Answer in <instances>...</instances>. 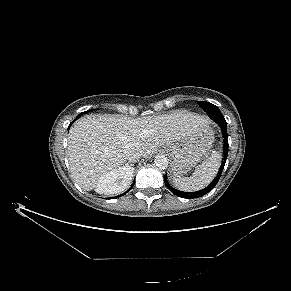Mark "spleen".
<instances>
[{"instance_id":"obj_1","label":"spleen","mask_w":291,"mask_h":291,"mask_svg":"<svg viewBox=\"0 0 291 291\" xmlns=\"http://www.w3.org/2000/svg\"><path fill=\"white\" fill-rule=\"evenodd\" d=\"M221 165V156L218 151H213L190 177H173V183L181 191L193 192L208 186L218 173Z\"/></svg>"}]
</instances>
